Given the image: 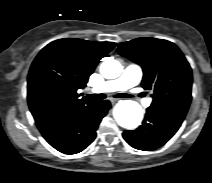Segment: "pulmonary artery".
<instances>
[{
  "label": "pulmonary artery",
  "instance_id": "obj_1",
  "mask_svg": "<svg viewBox=\"0 0 212 183\" xmlns=\"http://www.w3.org/2000/svg\"><path fill=\"white\" fill-rule=\"evenodd\" d=\"M142 76V68L138 64L129 63L118 78L102 83L95 91L98 93L127 91L136 86L141 81ZM143 104L145 107H149L151 105V99L145 100Z\"/></svg>",
  "mask_w": 212,
  "mask_h": 183
}]
</instances>
